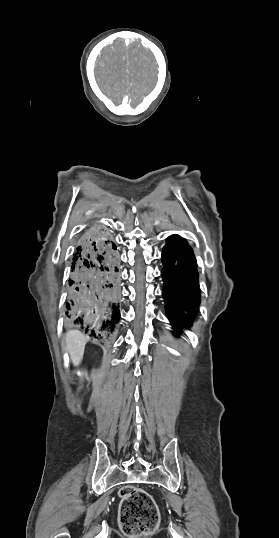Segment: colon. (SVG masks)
<instances>
[{
  "label": "colon",
  "instance_id": "5ec220e1",
  "mask_svg": "<svg viewBox=\"0 0 279 538\" xmlns=\"http://www.w3.org/2000/svg\"><path fill=\"white\" fill-rule=\"evenodd\" d=\"M120 527L124 534L138 537L152 533L159 523L158 508L149 493L132 486L120 491Z\"/></svg>",
  "mask_w": 279,
  "mask_h": 538
}]
</instances>
